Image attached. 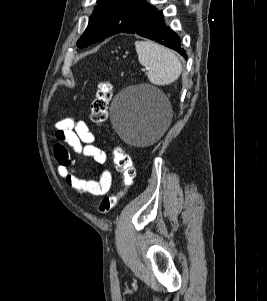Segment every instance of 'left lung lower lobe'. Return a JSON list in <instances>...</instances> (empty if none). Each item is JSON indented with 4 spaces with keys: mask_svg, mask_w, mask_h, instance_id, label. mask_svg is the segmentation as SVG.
Instances as JSON below:
<instances>
[{
    "mask_svg": "<svg viewBox=\"0 0 267 301\" xmlns=\"http://www.w3.org/2000/svg\"><path fill=\"white\" fill-rule=\"evenodd\" d=\"M122 32L138 34L142 37L154 40L179 52L187 59L186 52L182 48L179 36L165 24L162 12L157 11V9H154L145 19L127 27Z\"/></svg>",
    "mask_w": 267,
    "mask_h": 301,
    "instance_id": "left-lung-lower-lobe-1",
    "label": "left lung lower lobe"
}]
</instances>
